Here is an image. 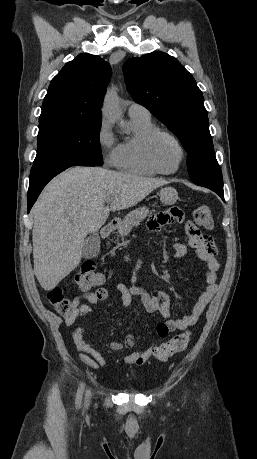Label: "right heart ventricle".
Masks as SVG:
<instances>
[{"instance_id":"1","label":"right heart ventricle","mask_w":257,"mask_h":459,"mask_svg":"<svg viewBox=\"0 0 257 459\" xmlns=\"http://www.w3.org/2000/svg\"><path fill=\"white\" fill-rule=\"evenodd\" d=\"M131 134L117 145L114 165L121 171L136 175L152 176L157 172L148 164L144 155V141L156 129L151 117L130 116Z\"/></svg>"}]
</instances>
